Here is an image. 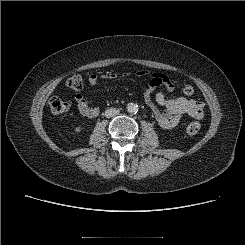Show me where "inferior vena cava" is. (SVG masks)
Instances as JSON below:
<instances>
[{
	"instance_id": "1",
	"label": "inferior vena cava",
	"mask_w": 245,
	"mask_h": 245,
	"mask_svg": "<svg viewBox=\"0 0 245 245\" xmlns=\"http://www.w3.org/2000/svg\"><path fill=\"white\" fill-rule=\"evenodd\" d=\"M119 114V110L116 108H109L105 111V116L107 118L114 117Z\"/></svg>"
}]
</instances>
